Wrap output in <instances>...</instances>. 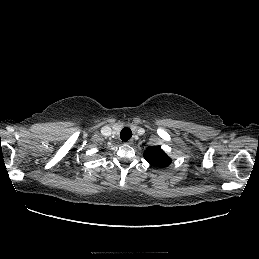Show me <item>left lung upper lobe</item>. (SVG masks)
<instances>
[{"instance_id": "left-lung-upper-lobe-1", "label": "left lung upper lobe", "mask_w": 259, "mask_h": 259, "mask_svg": "<svg viewBox=\"0 0 259 259\" xmlns=\"http://www.w3.org/2000/svg\"><path fill=\"white\" fill-rule=\"evenodd\" d=\"M144 158L153 166L166 167L171 163V159L158 146L149 147L144 152Z\"/></svg>"}]
</instances>
